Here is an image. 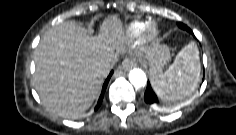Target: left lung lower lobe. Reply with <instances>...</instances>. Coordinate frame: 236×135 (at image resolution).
<instances>
[{"mask_svg": "<svg viewBox=\"0 0 236 135\" xmlns=\"http://www.w3.org/2000/svg\"><path fill=\"white\" fill-rule=\"evenodd\" d=\"M178 26L183 29V30H186L188 32H190L191 34H193V32L191 31L190 28H188L186 25H184L183 23L179 22L178 23ZM144 100L147 104L149 105H153V104H158L159 103V100L156 96V94L153 92L149 82L147 84V88H146V91H145V94H144Z\"/></svg>", "mask_w": 236, "mask_h": 135, "instance_id": "obj_1", "label": "left lung lower lobe"}]
</instances>
